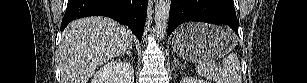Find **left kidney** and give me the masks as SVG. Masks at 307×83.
Instances as JSON below:
<instances>
[{"label":"left kidney","mask_w":307,"mask_h":83,"mask_svg":"<svg viewBox=\"0 0 307 83\" xmlns=\"http://www.w3.org/2000/svg\"><path fill=\"white\" fill-rule=\"evenodd\" d=\"M181 83H207V81L200 80L191 76L182 78Z\"/></svg>","instance_id":"5707ae66"}]
</instances>
